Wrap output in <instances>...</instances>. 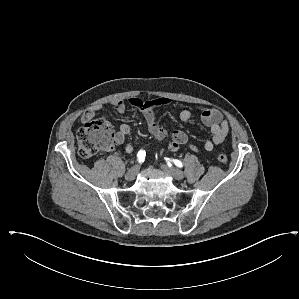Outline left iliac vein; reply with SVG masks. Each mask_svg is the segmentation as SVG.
Instances as JSON below:
<instances>
[{"label": "left iliac vein", "mask_w": 299, "mask_h": 299, "mask_svg": "<svg viewBox=\"0 0 299 299\" xmlns=\"http://www.w3.org/2000/svg\"><path fill=\"white\" fill-rule=\"evenodd\" d=\"M161 167L164 171H166L169 175H171L176 180H181L184 178L183 172L177 168L169 167L167 165H162Z\"/></svg>", "instance_id": "obj_1"}]
</instances>
